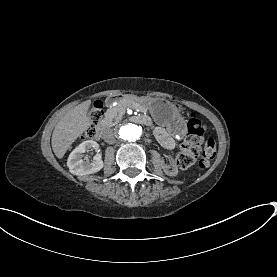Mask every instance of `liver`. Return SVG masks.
Masks as SVG:
<instances>
[{
  "instance_id": "6515ba94",
  "label": "liver",
  "mask_w": 277,
  "mask_h": 277,
  "mask_svg": "<svg viewBox=\"0 0 277 277\" xmlns=\"http://www.w3.org/2000/svg\"><path fill=\"white\" fill-rule=\"evenodd\" d=\"M91 100H86L69 110L56 124L51 144L54 154L61 159L70 145L90 126L87 111Z\"/></svg>"
}]
</instances>
